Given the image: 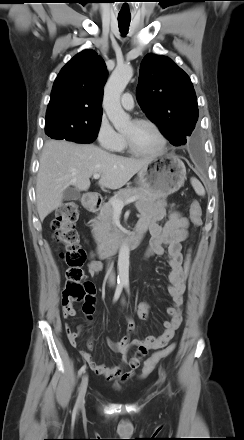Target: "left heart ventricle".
<instances>
[{"mask_svg": "<svg viewBox=\"0 0 244 440\" xmlns=\"http://www.w3.org/2000/svg\"><path fill=\"white\" fill-rule=\"evenodd\" d=\"M135 146L144 152H155L161 146V139L157 132L148 125L135 124L133 121L123 132Z\"/></svg>", "mask_w": 244, "mask_h": 440, "instance_id": "b2bd125f", "label": "left heart ventricle"}]
</instances>
